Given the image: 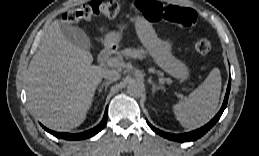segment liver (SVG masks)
Segmentation results:
<instances>
[{
    "mask_svg": "<svg viewBox=\"0 0 259 156\" xmlns=\"http://www.w3.org/2000/svg\"><path fill=\"white\" fill-rule=\"evenodd\" d=\"M92 61L89 51L64 38L59 20L50 24L27 71L29 108L46 127L66 131L84 122L107 71Z\"/></svg>",
    "mask_w": 259,
    "mask_h": 156,
    "instance_id": "obj_1",
    "label": "liver"
}]
</instances>
